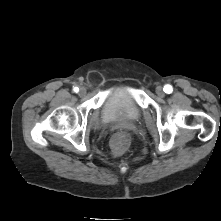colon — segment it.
<instances>
[{
	"label": "colon",
	"instance_id": "1",
	"mask_svg": "<svg viewBox=\"0 0 221 221\" xmlns=\"http://www.w3.org/2000/svg\"><path fill=\"white\" fill-rule=\"evenodd\" d=\"M129 145V136L125 132L116 133L111 141V148L114 154L123 153Z\"/></svg>",
	"mask_w": 221,
	"mask_h": 221
}]
</instances>
